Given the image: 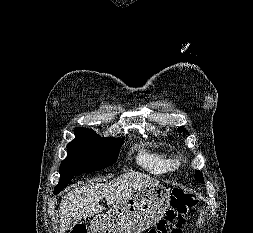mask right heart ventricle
Masks as SVG:
<instances>
[{
  "mask_svg": "<svg viewBox=\"0 0 253 233\" xmlns=\"http://www.w3.org/2000/svg\"><path fill=\"white\" fill-rule=\"evenodd\" d=\"M133 160L137 167L152 175L163 174L168 169V154L145 144L136 147Z\"/></svg>",
  "mask_w": 253,
  "mask_h": 233,
  "instance_id": "1",
  "label": "right heart ventricle"
}]
</instances>
